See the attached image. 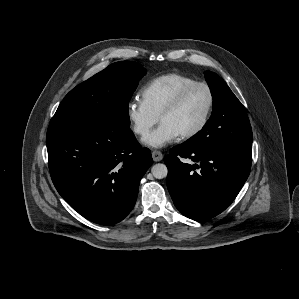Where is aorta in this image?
Segmentation results:
<instances>
[{"label": "aorta", "mask_w": 299, "mask_h": 299, "mask_svg": "<svg viewBox=\"0 0 299 299\" xmlns=\"http://www.w3.org/2000/svg\"><path fill=\"white\" fill-rule=\"evenodd\" d=\"M151 173L156 179H163L168 174V169L165 164L158 163L151 168Z\"/></svg>", "instance_id": "762f6f07"}]
</instances>
